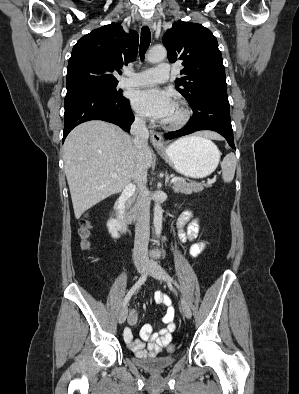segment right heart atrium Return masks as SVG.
<instances>
[{
	"label": "right heart atrium",
	"mask_w": 299,
	"mask_h": 394,
	"mask_svg": "<svg viewBox=\"0 0 299 394\" xmlns=\"http://www.w3.org/2000/svg\"><path fill=\"white\" fill-rule=\"evenodd\" d=\"M136 121L141 123V122H143V118L140 115H137Z\"/></svg>",
	"instance_id": "1"
}]
</instances>
